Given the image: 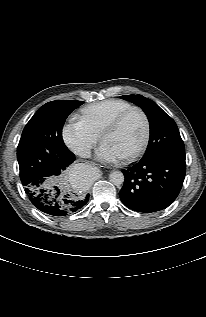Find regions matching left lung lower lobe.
<instances>
[{
  "mask_svg": "<svg viewBox=\"0 0 206 317\" xmlns=\"http://www.w3.org/2000/svg\"><path fill=\"white\" fill-rule=\"evenodd\" d=\"M122 172V203L134 211L152 213L167 208L176 199L185 178L186 163L185 159L173 156L149 157Z\"/></svg>",
  "mask_w": 206,
  "mask_h": 317,
  "instance_id": "left-lung-lower-lobe-1",
  "label": "left lung lower lobe"
}]
</instances>
